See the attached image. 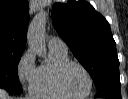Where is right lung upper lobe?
I'll return each mask as SVG.
<instances>
[{
    "mask_svg": "<svg viewBox=\"0 0 128 99\" xmlns=\"http://www.w3.org/2000/svg\"><path fill=\"white\" fill-rule=\"evenodd\" d=\"M28 12L26 0H0V49L24 51Z\"/></svg>",
    "mask_w": 128,
    "mask_h": 99,
    "instance_id": "obj_1",
    "label": "right lung upper lobe"
}]
</instances>
